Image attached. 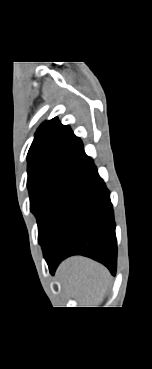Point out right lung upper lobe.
<instances>
[{"label": "right lung upper lobe", "mask_w": 152, "mask_h": 369, "mask_svg": "<svg viewBox=\"0 0 152 369\" xmlns=\"http://www.w3.org/2000/svg\"><path fill=\"white\" fill-rule=\"evenodd\" d=\"M87 158L80 138L69 126L53 118L44 122L35 134L27 155L28 172L58 164L81 165Z\"/></svg>", "instance_id": "1"}]
</instances>
